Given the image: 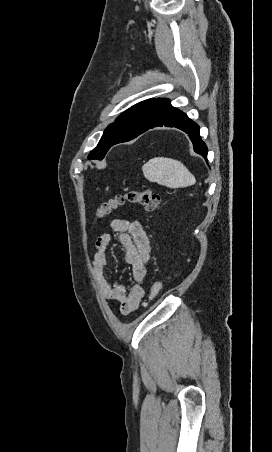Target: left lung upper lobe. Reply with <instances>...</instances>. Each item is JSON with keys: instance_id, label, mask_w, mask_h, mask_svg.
I'll return each instance as SVG.
<instances>
[{"instance_id": "5c2ea615", "label": "left lung upper lobe", "mask_w": 272, "mask_h": 452, "mask_svg": "<svg viewBox=\"0 0 272 452\" xmlns=\"http://www.w3.org/2000/svg\"><path fill=\"white\" fill-rule=\"evenodd\" d=\"M168 99H149L140 102L122 113L116 122L105 129L98 145L88 155V159H103L107 151L122 139H130L147 130L157 118Z\"/></svg>"}]
</instances>
